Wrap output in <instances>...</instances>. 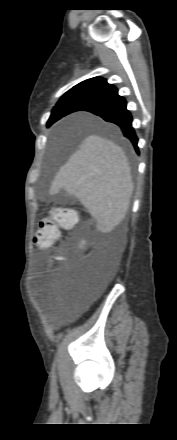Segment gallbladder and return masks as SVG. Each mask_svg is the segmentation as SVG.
I'll return each instance as SVG.
<instances>
[{
	"mask_svg": "<svg viewBox=\"0 0 177 440\" xmlns=\"http://www.w3.org/2000/svg\"><path fill=\"white\" fill-rule=\"evenodd\" d=\"M58 201L59 202H64V201H71L73 198L71 196H69L66 192L61 191L59 196H58Z\"/></svg>",
	"mask_w": 177,
	"mask_h": 440,
	"instance_id": "gallbladder-1",
	"label": "gallbladder"
}]
</instances>
